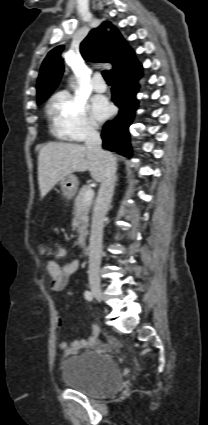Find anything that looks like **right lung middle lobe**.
I'll use <instances>...</instances> for the list:
<instances>
[{
    "instance_id": "dd1d6c3e",
    "label": "right lung middle lobe",
    "mask_w": 208,
    "mask_h": 425,
    "mask_svg": "<svg viewBox=\"0 0 208 425\" xmlns=\"http://www.w3.org/2000/svg\"><path fill=\"white\" fill-rule=\"evenodd\" d=\"M48 98V97H47ZM47 98H45L44 100H42L41 102H39L38 104L42 103L43 101H45Z\"/></svg>"
}]
</instances>
